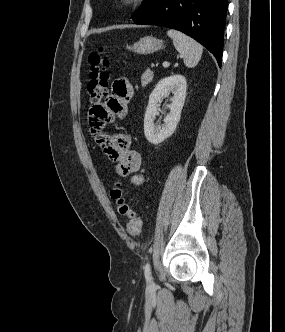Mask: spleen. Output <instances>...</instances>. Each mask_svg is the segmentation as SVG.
<instances>
[{
  "label": "spleen",
  "mask_w": 285,
  "mask_h": 332,
  "mask_svg": "<svg viewBox=\"0 0 285 332\" xmlns=\"http://www.w3.org/2000/svg\"><path fill=\"white\" fill-rule=\"evenodd\" d=\"M167 35L173 40L174 47L183 57L187 67H195L201 59L203 47L184 33L170 29Z\"/></svg>",
  "instance_id": "spleen-1"
}]
</instances>
